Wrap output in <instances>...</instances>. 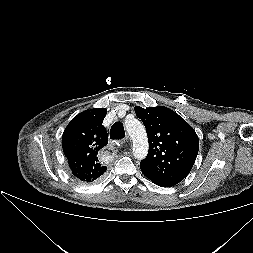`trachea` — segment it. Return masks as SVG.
<instances>
[{
	"mask_svg": "<svg viewBox=\"0 0 253 253\" xmlns=\"http://www.w3.org/2000/svg\"><path fill=\"white\" fill-rule=\"evenodd\" d=\"M125 136V130L121 122H116L112 125L110 129V138L111 139H122Z\"/></svg>",
	"mask_w": 253,
	"mask_h": 253,
	"instance_id": "3493384b",
	"label": "trachea"
}]
</instances>
